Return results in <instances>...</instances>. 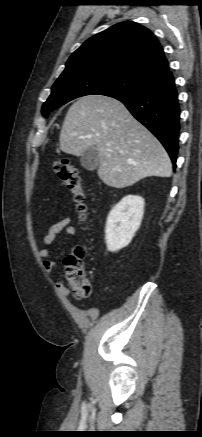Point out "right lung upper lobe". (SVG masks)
I'll list each match as a JSON object with an SVG mask.
<instances>
[{"label":"right lung upper lobe","instance_id":"right-lung-upper-lobe-1","mask_svg":"<svg viewBox=\"0 0 202 437\" xmlns=\"http://www.w3.org/2000/svg\"><path fill=\"white\" fill-rule=\"evenodd\" d=\"M79 69L113 71L150 82L168 70V62L150 30L125 21L89 38L70 56L63 73Z\"/></svg>","mask_w":202,"mask_h":437}]
</instances>
